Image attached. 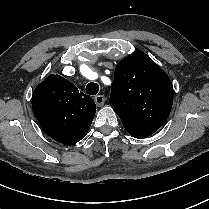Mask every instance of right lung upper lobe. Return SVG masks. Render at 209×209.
<instances>
[{
  "label": "right lung upper lobe",
  "mask_w": 209,
  "mask_h": 209,
  "mask_svg": "<svg viewBox=\"0 0 209 209\" xmlns=\"http://www.w3.org/2000/svg\"><path fill=\"white\" fill-rule=\"evenodd\" d=\"M32 108L43 131L63 144L83 139L96 112L90 96L79 93L73 83L54 74L35 88Z\"/></svg>",
  "instance_id": "cb5924a9"
}]
</instances>
